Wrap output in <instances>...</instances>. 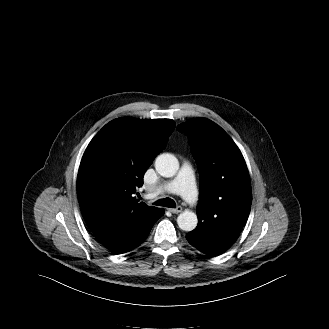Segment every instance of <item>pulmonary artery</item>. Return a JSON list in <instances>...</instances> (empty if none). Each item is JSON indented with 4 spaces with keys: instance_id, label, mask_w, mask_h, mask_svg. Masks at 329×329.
Wrapping results in <instances>:
<instances>
[{
    "instance_id": "1",
    "label": "pulmonary artery",
    "mask_w": 329,
    "mask_h": 329,
    "mask_svg": "<svg viewBox=\"0 0 329 329\" xmlns=\"http://www.w3.org/2000/svg\"><path fill=\"white\" fill-rule=\"evenodd\" d=\"M160 193L179 194L191 204L197 203L198 192L195 185L194 172L188 163H184L177 176L163 183L159 188Z\"/></svg>"
}]
</instances>
